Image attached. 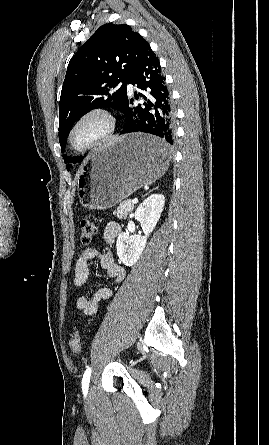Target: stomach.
<instances>
[{
    "mask_svg": "<svg viewBox=\"0 0 269 445\" xmlns=\"http://www.w3.org/2000/svg\"><path fill=\"white\" fill-rule=\"evenodd\" d=\"M156 140L141 133L128 134L92 154L77 179L82 206L93 210L111 208L159 179L169 166L170 153H146L145 144Z\"/></svg>",
    "mask_w": 269,
    "mask_h": 445,
    "instance_id": "stomach-1",
    "label": "stomach"
}]
</instances>
